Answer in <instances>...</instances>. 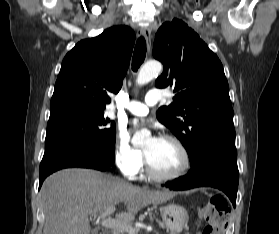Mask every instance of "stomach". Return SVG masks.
Instances as JSON below:
<instances>
[{
  "mask_svg": "<svg viewBox=\"0 0 279 234\" xmlns=\"http://www.w3.org/2000/svg\"><path fill=\"white\" fill-rule=\"evenodd\" d=\"M164 224L171 234H179L188 223L187 210L176 204H170L160 208Z\"/></svg>",
  "mask_w": 279,
  "mask_h": 234,
  "instance_id": "0dacf381",
  "label": "stomach"
}]
</instances>
